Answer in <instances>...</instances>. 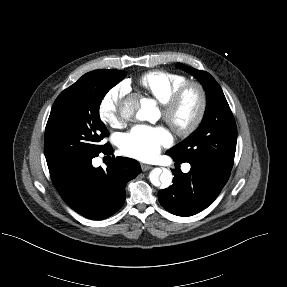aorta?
<instances>
[{
  "label": "aorta",
  "instance_id": "aorta-1",
  "mask_svg": "<svg viewBox=\"0 0 287 287\" xmlns=\"http://www.w3.org/2000/svg\"><path fill=\"white\" fill-rule=\"evenodd\" d=\"M154 101L138 95L128 96L120 106V114L125 119L136 117L139 120H150L155 111ZM151 183L160 188L172 185V172L166 168H154L149 175Z\"/></svg>",
  "mask_w": 287,
  "mask_h": 287
}]
</instances>
